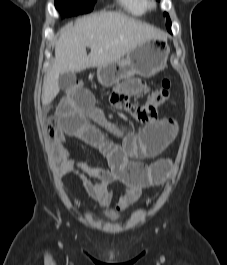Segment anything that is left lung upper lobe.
Returning a JSON list of instances; mask_svg holds the SVG:
<instances>
[{
	"label": "left lung upper lobe",
	"mask_w": 227,
	"mask_h": 265,
	"mask_svg": "<svg viewBox=\"0 0 227 265\" xmlns=\"http://www.w3.org/2000/svg\"><path fill=\"white\" fill-rule=\"evenodd\" d=\"M158 1H159V0H158ZM164 15L167 16V24H166V26H167V30H171V21H170V18H169V16H168L167 13H164Z\"/></svg>",
	"instance_id": "5c2ea615"
}]
</instances>
